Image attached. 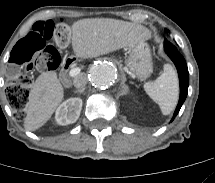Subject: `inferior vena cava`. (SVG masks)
<instances>
[{
  "label": "inferior vena cava",
  "instance_id": "obj_1",
  "mask_svg": "<svg viewBox=\"0 0 215 183\" xmlns=\"http://www.w3.org/2000/svg\"><path fill=\"white\" fill-rule=\"evenodd\" d=\"M87 82H88L87 76L85 74H80L77 77H75L73 84L76 88L81 89L85 87Z\"/></svg>",
  "mask_w": 215,
  "mask_h": 183
}]
</instances>
